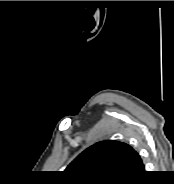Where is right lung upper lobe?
Masks as SVG:
<instances>
[{"label": "right lung upper lobe", "instance_id": "cb5924a9", "mask_svg": "<svg viewBox=\"0 0 174 184\" xmlns=\"http://www.w3.org/2000/svg\"><path fill=\"white\" fill-rule=\"evenodd\" d=\"M78 183H122L137 178L144 172L138 153L128 144L107 140L83 151L65 169Z\"/></svg>", "mask_w": 174, "mask_h": 184}]
</instances>
